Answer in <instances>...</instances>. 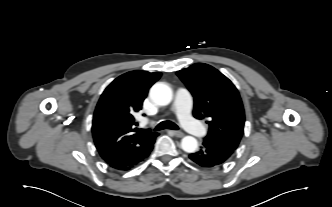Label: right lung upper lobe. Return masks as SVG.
I'll list each match as a JSON object with an SVG mask.
<instances>
[{
	"mask_svg": "<svg viewBox=\"0 0 332 207\" xmlns=\"http://www.w3.org/2000/svg\"><path fill=\"white\" fill-rule=\"evenodd\" d=\"M160 72L130 71L116 78L96 106L92 132L101 157L113 168L129 170L150 151L158 133L137 129L134 113L142 108Z\"/></svg>",
	"mask_w": 332,
	"mask_h": 207,
	"instance_id": "obj_1",
	"label": "right lung upper lobe"
}]
</instances>
